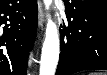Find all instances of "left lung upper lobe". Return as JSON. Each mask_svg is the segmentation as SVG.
<instances>
[{
    "mask_svg": "<svg viewBox=\"0 0 107 75\" xmlns=\"http://www.w3.org/2000/svg\"><path fill=\"white\" fill-rule=\"evenodd\" d=\"M103 6L107 7V0H98L96 2L90 3V4H84L80 6L79 11L80 12H90L91 10L102 8ZM72 22L74 23V34L77 36H85V30L83 27V23L80 17L79 12H74L71 15Z\"/></svg>",
    "mask_w": 107,
    "mask_h": 75,
    "instance_id": "left-lung-upper-lobe-1",
    "label": "left lung upper lobe"
}]
</instances>
